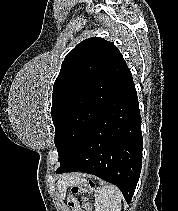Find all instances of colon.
Segmentation results:
<instances>
[{
  "label": "colon",
  "instance_id": "5ec220e1",
  "mask_svg": "<svg viewBox=\"0 0 178 211\" xmlns=\"http://www.w3.org/2000/svg\"><path fill=\"white\" fill-rule=\"evenodd\" d=\"M93 189L94 183L92 181L74 184L67 195L68 204L74 205L78 196L81 194H89L93 191Z\"/></svg>",
  "mask_w": 178,
  "mask_h": 211
}]
</instances>
